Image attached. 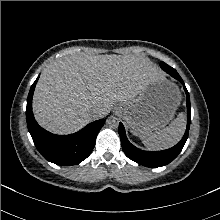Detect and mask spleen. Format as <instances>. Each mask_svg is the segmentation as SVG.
Masks as SVG:
<instances>
[{
    "mask_svg": "<svg viewBox=\"0 0 220 220\" xmlns=\"http://www.w3.org/2000/svg\"><path fill=\"white\" fill-rule=\"evenodd\" d=\"M186 127V118L179 113L166 128L140 135L143 144L149 149H164L175 145L182 137Z\"/></svg>",
    "mask_w": 220,
    "mask_h": 220,
    "instance_id": "3e777b00",
    "label": "spleen"
}]
</instances>
